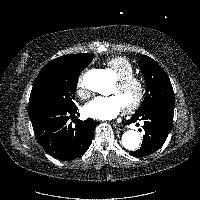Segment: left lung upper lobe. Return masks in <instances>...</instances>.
Masks as SVG:
<instances>
[{"label": "left lung upper lobe", "mask_w": 200, "mask_h": 200, "mask_svg": "<svg viewBox=\"0 0 200 200\" xmlns=\"http://www.w3.org/2000/svg\"><path fill=\"white\" fill-rule=\"evenodd\" d=\"M139 65L146 82V97L135 114L150 106L174 109L173 88L161 66L146 55L140 59Z\"/></svg>", "instance_id": "left-lung-upper-lobe-1"}]
</instances>
